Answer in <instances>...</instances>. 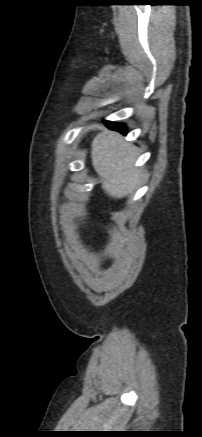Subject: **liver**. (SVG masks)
<instances>
[{
	"instance_id": "liver-1",
	"label": "liver",
	"mask_w": 202,
	"mask_h": 437,
	"mask_svg": "<svg viewBox=\"0 0 202 437\" xmlns=\"http://www.w3.org/2000/svg\"><path fill=\"white\" fill-rule=\"evenodd\" d=\"M136 150L123 137L104 128L92 141V164L101 178L102 188L112 198H122L136 190L142 178L134 167Z\"/></svg>"
}]
</instances>
